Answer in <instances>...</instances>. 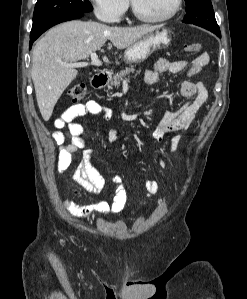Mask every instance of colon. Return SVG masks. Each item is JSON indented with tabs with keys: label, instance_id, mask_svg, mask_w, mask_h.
Returning a JSON list of instances; mask_svg holds the SVG:
<instances>
[{
	"label": "colon",
	"instance_id": "colon-1",
	"mask_svg": "<svg viewBox=\"0 0 247 299\" xmlns=\"http://www.w3.org/2000/svg\"><path fill=\"white\" fill-rule=\"evenodd\" d=\"M202 49L203 47L202 44L200 43H192L184 47V51L187 53H197L202 51ZM85 93H86V87L84 84H76L68 90L69 97L74 101H79L83 99Z\"/></svg>",
	"mask_w": 247,
	"mask_h": 299
}]
</instances>
